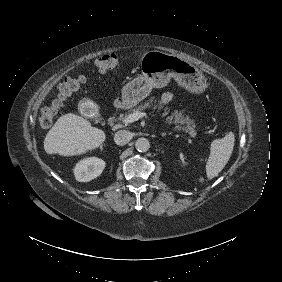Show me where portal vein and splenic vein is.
<instances>
[{"label": "portal vein and splenic vein", "instance_id": "obj_1", "mask_svg": "<svg viewBox=\"0 0 282 282\" xmlns=\"http://www.w3.org/2000/svg\"><path fill=\"white\" fill-rule=\"evenodd\" d=\"M146 116V113L140 112V111H136L130 115H128L127 118L124 119L125 123H132L134 121L139 120L140 118Z\"/></svg>", "mask_w": 282, "mask_h": 282}]
</instances>
